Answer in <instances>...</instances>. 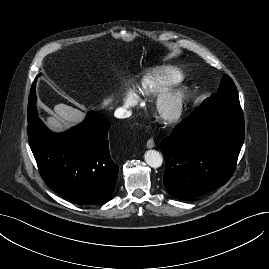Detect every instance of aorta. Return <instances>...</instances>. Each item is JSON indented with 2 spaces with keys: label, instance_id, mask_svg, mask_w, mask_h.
I'll return each mask as SVG.
<instances>
[{
  "label": "aorta",
  "instance_id": "aorta-1",
  "mask_svg": "<svg viewBox=\"0 0 269 269\" xmlns=\"http://www.w3.org/2000/svg\"><path fill=\"white\" fill-rule=\"evenodd\" d=\"M145 162L152 168H158L162 165L163 158L156 150H148L144 154Z\"/></svg>",
  "mask_w": 269,
  "mask_h": 269
}]
</instances>
